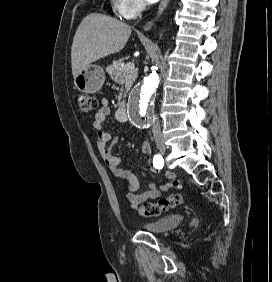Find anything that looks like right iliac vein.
Wrapping results in <instances>:
<instances>
[{
    "label": "right iliac vein",
    "instance_id": "1",
    "mask_svg": "<svg viewBox=\"0 0 272 282\" xmlns=\"http://www.w3.org/2000/svg\"><path fill=\"white\" fill-rule=\"evenodd\" d=\"M157 148L161 154H164L166 152V145L164 141H158L157 142Z\"/></svg>",
    "mask_w": 272,
    "mask_h": 282
}]
</instances>
